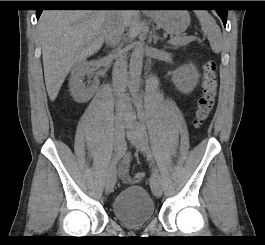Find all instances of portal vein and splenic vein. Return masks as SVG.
Instances as JSON below:
<instances>
[{"instance_id":"portal-vein-and-splenic-vein-1","label":"portal vein and splenic vein","mask_w":265,"mask_h":245,"mask_svg":"<svg viewBox=\"0 0 265 245\" xmlns=\"http://www.w3.org/2000/svg\"><path fill=\"white\" fill-rule=\"evenodd\" d=\"M176 39L175 38H171L170 40L167 41L168 44H172Z\"/></svg>"}]
</instances>
